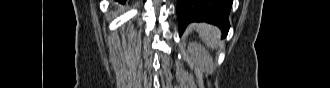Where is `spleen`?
Listing matches in <instances>:
<instances>
[{
    "label": "spleen",
    "instance_id": "1",
    "mask_svg": "<svg viewBox=\"0 0 330 88\" xmlns=\"http://www.w3.org/2000/svg\"><path fill=\"white\" fill-rule=\"evenodd\" d=\"M196 28L199 36L207 43L210 48L216 49L218 47L220 33L216 27L202 23L197 24Z\"/></svg>",
    "mask_w": 330,
    "mask_h": 88
}]
</instances>
